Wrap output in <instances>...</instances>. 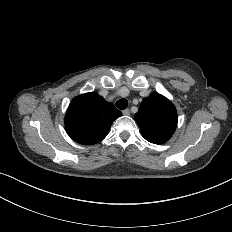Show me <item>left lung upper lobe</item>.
<instances>
[{"instance_id": "5c2ea615", "label": "left lung upper lobe", "mask_w": 232, "mask_h": 232, "mask_svg": "<svg viewBox=\"0 0 232 232\" xmlns=\"http://www.w3.org/2000/svg\"><path fill=\"white\" fill-rule=\"evenodd\" d=\"M134 117L143 137L154 144L168 141L177 126L175 106L157 92L151 93L142 101Z\"/></svg>"}]
</instances>
